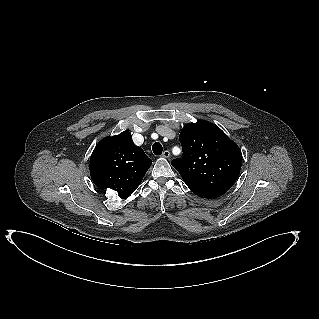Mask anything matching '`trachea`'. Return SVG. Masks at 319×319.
Here are the masks:
<instances>
[{"instance_id": "3493384b", "label": "trachea", "mask_w": 319, "mask_h": 319, "mask_svg": "<svg viewBox=\"0 0 319 319\" xmlns=\"http://www.w3.org/2000/svg\"><path fill=\"white\" fill-rule=\"evenodd\" d=\"M153 153L157 156L162 154L163 148L159 142H155L152 146Z\"/></svg>"}]
</instances>
